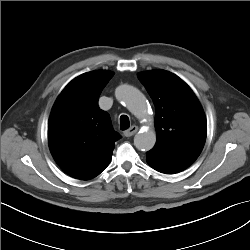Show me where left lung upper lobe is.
Masks as SVG:
<instances>
[{
	"label": "left lung upper lobe",
	"instance_id": "1",
	"mask_svg": "<svg viewBox=\"0 0 250 250\" xmlns=\"http://www.w3.org/2000/svg\"><path fill=\"white\" fill-rule=\"evenodd\" d=\"M155 108L157 140L155 152L197 158L205 144L207 122L203 109L190 87L165 70L138 74Z\"/></svg>",
	"mask_w": 250,
	"mask_h": 250
}]
</instances>
